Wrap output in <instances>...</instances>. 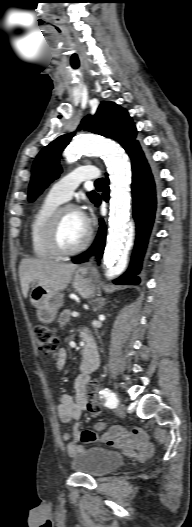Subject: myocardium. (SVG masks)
<instances>
[{
  "label": "myocardium",
  "mask_w": 192,
  "mask_h": 527,
  "mask_svg": "<svg viewBox=\"0 0 192 527\" xmlns=\"http://www.w3.org/2000/svg\"><path fill=\"white\" fill-rule=\"evenodd\" d=\"M68 211H76L78 212L77 208L73 205H64L60 206L52 215L49 224L47 226L46 230V242L49 247V249L56 255V256H73L80 252H82L84 249L87 248V246L90 244L92 240V230L90 227H87V233L83 241L78 244L77 246L73 248H64L60 242H59V228L61 224L62 217L64 214Z\"/></svg>",
  "instance_id": "myocardium-1"
}]
</instances>
